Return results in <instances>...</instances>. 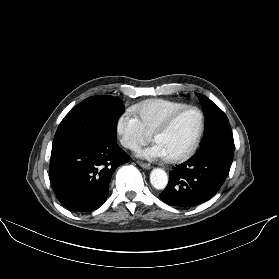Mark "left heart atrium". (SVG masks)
I'll return each instance as SVG.
<instances>
[{"mask_svg":"<svg viewBox=\"0 0 279 279\" xmlns=\"http://www.w3.org/2000/svg\"><path fill=\"white\" fill-rule=\"evenodd\" d=\"M139 155L142 157H145V158H149V159L168 158L166 151L158 143H155L152 146L141 150L139 152Z\"/></svg>","mask_w":279,"mask_h":279,"instance_id":"obj_1","label":"left heart atrium"}]
</instances>
